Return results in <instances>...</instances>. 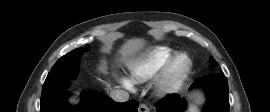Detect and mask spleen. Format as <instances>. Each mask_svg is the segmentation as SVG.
Wrapping results in <instances>:
<instances>
[{
    "label": "spleen",
    "instance_id": "obj_1",
    "mask_svg": "<svg viewBox=\"0 0 270 112\" xmlns=\"http://www.w3.org/2000/svg\"><path fill=\"white\" fill-rule=\"evenodd\" d=\"M188 110L189 112H199V108L197 105H191Z\"/></svg>",
    "mask_w": 270,
    "mask_h": 112
}]
</instances>
